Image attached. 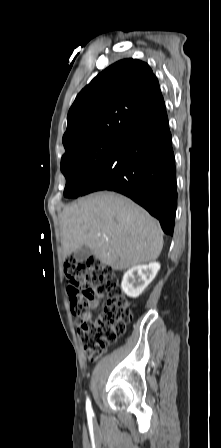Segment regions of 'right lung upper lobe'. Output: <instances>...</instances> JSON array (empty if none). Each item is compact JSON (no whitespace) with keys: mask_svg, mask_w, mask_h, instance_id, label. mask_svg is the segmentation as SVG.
<instances>
[{"mask_svg":"<svg viewBox=\"0 0 221 448\" xmlns=\"http://www.w3.org/2000/svg\"><path fill=\"white\" fill-rule=\"evenodd\" d=\"M164 104L149 65L137 59L120 60L77 95L67 116L65 153L84 143L119 137Z\"/></svg>","mask_w":221,"mask_h":448,"instance_id":"cb5924a9","label":"right lung upper lobe"}]
</instances>
